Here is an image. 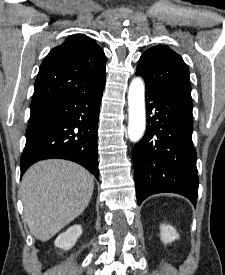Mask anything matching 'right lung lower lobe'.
<instances>
[{"mask_svg":"<svg viewBox=\"0 0 225 275\" xmlns=\"http://www.w3.org/2000/svg\"><path fill=\"white\" fill-rule=\"evenodd\" d=\"M105 77L97 89L31 105L21 175L35 162L61 158L84 166L98 178L97 128Z\"/></svg>","mask_w":225,"mask_h":275,"instance_id":"1","label":"right lung lower lobe"}]
</instances>
